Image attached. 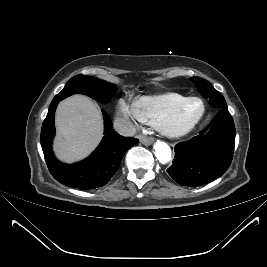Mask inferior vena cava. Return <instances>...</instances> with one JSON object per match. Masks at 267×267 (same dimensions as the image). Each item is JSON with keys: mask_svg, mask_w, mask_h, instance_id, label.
<instances>
[{"mask_svg": "<svg viewBox=\"0 0 267 267\" xmlns=\"http://www.w3.org/2000/svg\"><path fill=\"white\" fill-rule=\"evenodd\" d=\"M114 129L122 136H134L136 128L129 120L125 118H117L114 120Z\"/></svg>", "mask_w": 267, "mask_h": 267, "instance_id": "inferior-vena-cava-1", "label": "inferior vena cava"}]
</instances>
